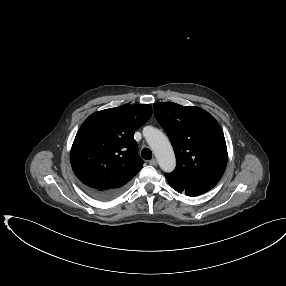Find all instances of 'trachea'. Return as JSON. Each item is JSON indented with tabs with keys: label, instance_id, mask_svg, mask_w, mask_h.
<instances>
[{
	"label": "trachea",
	"instance_id": "1",
	"mask_svg": "<svg viewBox=\"0 0 286 286\" xmlns=\"http://www.w3.org/2000/svg\"><path fill=\"white\" fill-rule=\"evenodd\" d=\"M141 156L145 160H150L152 158V152L149 148H143L141 151Z\"/></svg>",
	"mask_w": 286,
	"mask_h": 286
}]
</instances>
